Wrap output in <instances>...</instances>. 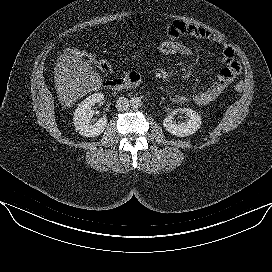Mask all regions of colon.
Wrapping results in <instances>:
<instances>
[{"label": "colon", "mask_w": 272, "mask_h": 272, "mask_svg": "<svg viewBox=\"0 0 272 272\" xmlns=\"http://www.w3.org/2000/svg\"><path fill=\"white\" fill-rule=\"evenodd\" d=\"M153 50L156 52V54L162 57L173 59L188 56L191 52V48L187 43L183 42L181 39H173L169 37L157 41L153 45ZM65 53L70 58H76L81 61H87L95 64L101 72L107 73L111 69L110 64L106 60L97 59L93 54L85 50L69 48L65 51ZM243 88V82L236 83L235 90L237 92H241Z\"/></svg>", "instance_id": "colon-1"}]
</instances>
